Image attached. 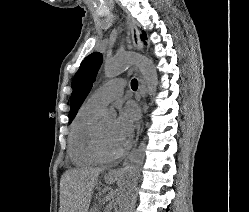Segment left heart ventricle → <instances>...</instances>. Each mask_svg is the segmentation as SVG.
I'll list each match as a JSON object with an SVG mask.
<instances>
[{"instance_id": "1", "label": "left heart ventricle", "mask_w": 249, "mask_h": 212, "mask_svg": "<svg viewBox=\"0 0 249 212\" xmlns=\"http://www.w3.org/2000/svg\"><path fill=\"white\" fill-rule=\"evenodd\" d=\"M100 123V137L104 149L109 153H118L111 141L114 120H104Z\"/></svg>"}]
</instances>
